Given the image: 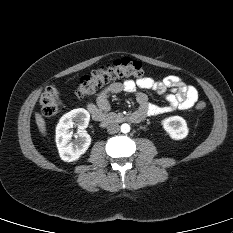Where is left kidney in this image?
<instances>
[{"label": "left kidney", "instance_id": "5707ae66", "mask_svg": "<svg viewBox=\"0 0 233 233\" xmlns=\"http://www.w3.org/2000/svg\"><path fill=\"white\" fill-rule=\"evenodd\" d=\"M164 130L174 140L184 139L189 132L186 121L180 116H172L162 120Z\"/></svg>", "mask_w": 233, "mask_h": 233}]
</instances>
